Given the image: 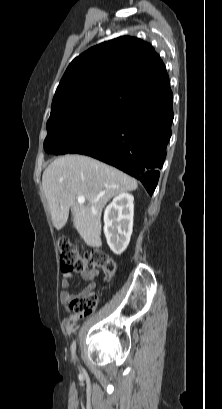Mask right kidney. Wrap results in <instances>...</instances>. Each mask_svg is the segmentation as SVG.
Returning <instances> with one entry per match:
<instances>
[{
  "mask_svg": "<svg viewBox=\"0 0 222 409\" xmlns=\"http://www.w3.org/2000/svg\"><path fill=\"white\" fill-rule=\"evenodd\" d=\"M134 197L128 193L116 196L104 212V234L114 254L127 248L133 229Z\"/></svg>",
  "mask_w": 222,
  "mask_h": 409,
  "instance_id": "1",
  "label": "right kidney"
}]
</instances>
